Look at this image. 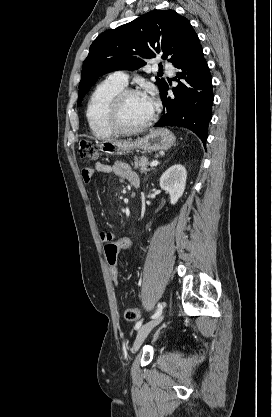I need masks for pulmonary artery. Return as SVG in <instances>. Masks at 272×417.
<instances>
[{
    "label": "pulmonary artery",
    "mask_w": 272,
    "mask_h": 417,
    "mask_svg": "<svg viewBox=\"0 0 272 417\" xmlns=\"http://www.w3.org/2000/svg\"><path fill=\"white\" fill-rule=\"evenodd\" d=\"M164 67L169 72L173 71L172 66L168 63H165ZM110 77L123 86L128 84V75L124 71H115Z\"/></svg>",
    "instance_id": "1"
}]
</instances>
